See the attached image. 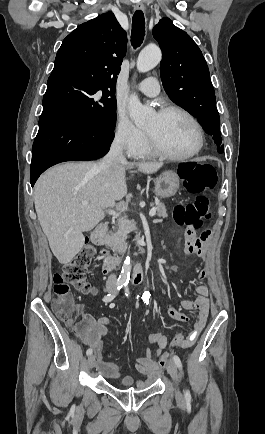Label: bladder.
Returning <instances> with one entry per match:
<instances>
[{
    "instance_id": "1",
    "label": "bladder",
    "mask_w": 265,
    "mask_h": 434,
    "mask_svg": "<svg viewBox=\"0 0 265 434\" xmlns=\"http://www.w3.org/2000/svg\"><path fill=\"white\" fill-rule=\"evenodd\" d=\"M100 374L107 380H118L121 377V368L114 363L99 365Z\"/></svg>"
}]
</instances>
